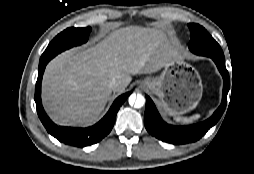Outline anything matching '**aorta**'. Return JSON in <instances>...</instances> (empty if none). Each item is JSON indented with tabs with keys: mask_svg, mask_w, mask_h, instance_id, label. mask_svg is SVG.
<instances>
[{
	"mask_svg": "<svg viewBox=\"0 0 254 174\" xmlns=\"http://www.w3.org/2000/svg\"><path fill=\"white\" fill-rule=\"evenodd\" d=\"M129 104L134 106L135 108H141L145 104V98L141 94H132L129 97Z\"/></svg>",
	"mask_w": 254,
	"mask_h": 174,
	"instance_id": "aorta-1",
	"label": "aorta"
}]
</instances>
